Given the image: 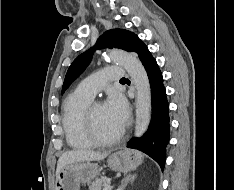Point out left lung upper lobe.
Masks as SVG:
<instances>
[{
	"label": "left lung upper lobe",
	"instance_id": "1",
	"mask_svg": "<svg viewBox=\"0 0 234 190\" xmlns=\"http://www.w3.org/2000/svg\"><path fill=\"white\" fill-rule=\"evenodd\" d=\"M145 45L137 35L123 29H111L106 31L97 40L96 45L79 55L70 65L62 87V93L85 70L90 63L93 52L101 48H120L128 52H137Z\"/></svg>",
	"mask_w": 234,
	"mask_h": 190
}]
</instances>
